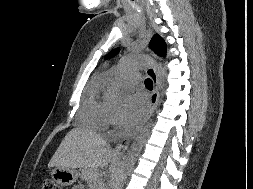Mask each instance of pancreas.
Returning <instances> with one entry per match:
<instances>
[{"mask_svg":"<svg viewBox=\"0 0 253 189\" xmlns=\"http://www.w3.org/2000/svg\"><path fill=\"white\" fill-rule=\"evenodd\" d=\"M81 178L88 183H99L98 174L91 168L84 167L81 169Z\"/></svg>","mask_w":253,"mask_h":189,"instance_id":"cf45deb5","label":"pancreas"}]
</instances>
